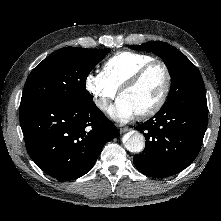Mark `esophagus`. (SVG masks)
Returning a JSON list of instances; mask_svg holds the SVG:
<instances>
[{"instance_id":"1","label":"esophagus","mask_w":221,"mask_h":221,"mask_svg":"<svg viewBox=\"0 0 221 221\" xmlns=\"http://www.w3.org/2000/svg\"><path fill=\"white\" fill-rule=\"evenodd\" d=\"M130 129L128 127H121L120 128V133H125L127 131H129Z\"/></svg>"}]
</instances>
